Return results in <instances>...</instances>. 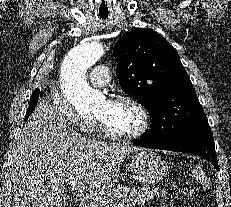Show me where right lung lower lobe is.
Segmentation results:
<instances>
[{
    "label": "right lung lower lobe",
    "mask_w": 231,
    "mask_h": 207,
    "mask_svg": "<svg viewBox=\"0 0 231 207\" xmlns=\"http://www.w3.org/2000/svg\"><path fill=\"white\" fill-rule=\"evenodd\" d=\"M38 99H39V96L38 97H36L34 95L31 96L30 104H29V107L27 109L25 120L28 119V117L30 116V114L32 113V111L35 109V107L37 105V102H38Z\"/></svg>",
    "instance_id": "right-lung-lower-lobe-1"
}]
</instances>
